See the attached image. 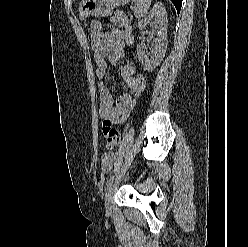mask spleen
I'll return each mask as SVG.
<instances>
[{
    "instance_id": "1",
    "label": "spleen",
    "mask_w": 248,
    "mask_h": 247,
    "mask_svg": "<svg viewBox=\"0 0 248 247\" xmlns=\"http://www.w3.org/2000/svg\"><path fill=\"white\" fill-rule=\"evenodd\" d=\"M135 2L134 15L136 18L140 19L144 17L151 5L152 0H133Z\"/></svg>"
}]
</instances>
